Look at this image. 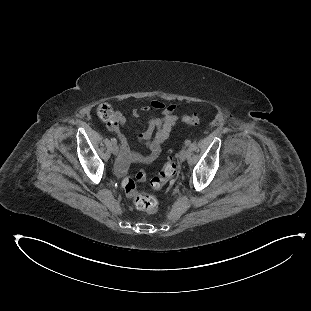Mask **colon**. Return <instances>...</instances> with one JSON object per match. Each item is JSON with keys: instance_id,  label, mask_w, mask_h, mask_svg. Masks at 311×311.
Wrapping results in <instances>:
<instances>
[{"instance_id": "1", "label": "colon", "mask_w": 311, "mask_h": 311, "mask_svg": "<svg viewBox=\"0 0 311 311\" xmlns=\"http://www.w3.org/2000/svg\"><path fill=\"white\" fill-rule=\"evenodd\" d=\"M97 115L102 119L114 116V111L109 105L101 104L97 107ZM182 122L188 126H199L202 122L200 113L194 112L182 116ZM179 166L173 157H168L164 166L161 168L157 176L150 180V186L153 190H161L165 185L177 174ZM141 179L145 178V174L141 173ZM122 190L128 198H130L135 206L144 212H156L159 201L156 197L142 193L138 190L137 183L131 176L123 178Z\"/></svg>"}]
</instances>
